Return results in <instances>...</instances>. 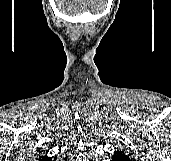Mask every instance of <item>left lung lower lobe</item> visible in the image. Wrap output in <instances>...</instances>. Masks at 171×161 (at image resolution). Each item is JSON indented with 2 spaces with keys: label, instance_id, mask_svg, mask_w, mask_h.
Wrapping results in <instances>:
<instances>
[{
  "label": "left lung lower lobe",
  "instance_id": "left-lung-lower-lobe-1",
  "mask_svg": "<svg viewBox=\"0 0 171 161\" xmlns=\"http://www.w3.org/2000/svg\"><path fill=\"white\" fill-rule=\"evenodd\" d=\"M112 161H126V160L120 157H112Z\"/></svg>",
  "mask_w": 171,
  "mask_h": 161
}]
</instances>
